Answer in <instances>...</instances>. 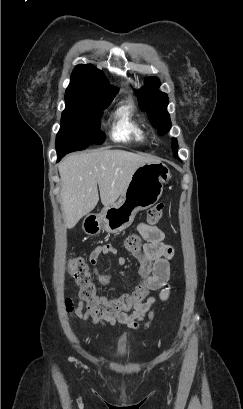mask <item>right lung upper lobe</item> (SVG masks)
I'll return each instance as SVG.
<instances>
[{
  "label": "right lung upper lobe",
  "instance_id": "obj_1",
  "mask_svg": "<svg viewBox=\"0 0 243 409\" xmlns=\"http://www.w3.org/2000/svg\"><path fill=\"white\" fill-rule=\"evenodd\" d=\"M119 88L111 86L105 74L91 64L77 65L66 89L68 100H102L113 97Z\"/></svg>",
  "mask_w": 243,
  "mask_h": 409
}]
</instances>
